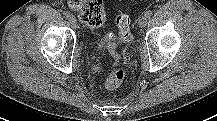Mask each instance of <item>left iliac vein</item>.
I'll list each match as a JSON object with an SVG mask.
<instances>
[{
    "label": "left iliac vein",
    "mask_w": 217,
    "mask_h": 121,
    "mask_svg": "<svg viewBox=\"0 0 217 121\" xmlns=\"http://www.w3.org/2000/svg\"><path fill=\"white\" fill-rule=\"evenodd\" d=\"M147 22H148V17L146 15H142L138 21L140 27H145Z\"/></svg>",
    "instance_id": "obj_1"
}]
</instances>
